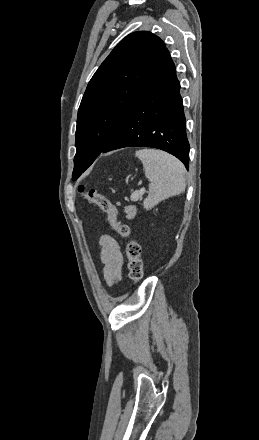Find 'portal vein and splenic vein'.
I'll return each instance as SVG.
<instances>
[{"instance_id": "portal-vein-and-splenic-vein-1", "label": "portal vein and splenic vein", "mask_w": 259, "mask_h": 440, "mask_svg": "<svg viewBox=\"0 0 259 440\" xmlns=\"http://www.w3.org/2000/svg\"><path fill=\"white\" fill-rule=\"evenodd\" d=\"M145 192H146V190L144 188H142L140 191L134 192L131 195V200L137 201L139 199V197H141Z\"/></svg>"}]
</instances>
